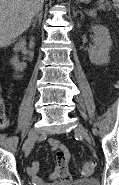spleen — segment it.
Returning a JSON list of instances; mask_svg holds the SVG:
<instances>
[{
	"label": "spleen",
	"instance_id": "spleen-1",
	"mask_svg": "<svg viewBox=\"0 0 119 185\" xmlns=\"http://www.w3.org/2000/svg\"><path fill=\"white\" fill-rule=\"evenodd\" d=\"M114 2H116L117 6L119 7V0H113Z\"/></svg>",
	"mask_w": 119,
	"mask_h": 185
}]
</instances>
